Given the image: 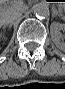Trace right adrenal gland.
Wrapping results in <instances>:
<instances>
[{
  "mask_svg": "<svg viewBox=\"0 0 65 89\" xmlns=\"http://www.w3.org/2000/svg\"><path fill=\"white\" fill-rule=\"evenodd\" d=\"M6 27H8V30H10V29H11V27H12V24L4 25V26L2 27V29L4 30V29H6Z\"/></svg>",
  "mask_w": 65,
  "mask_h": 89,
  "instance_id": "2a0ac1e0",
  "label": "right adrenal gland"
}]
</instances>
